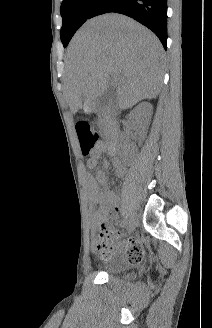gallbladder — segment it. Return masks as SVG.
I'll return each instance as SVG.
<instances>
[{
    "mask_svg": "<svg viewBox=\"0 0 212 328\" xmlns=\"http://www.w3.org/2000/svg\"><path fill=\"white\" fill-rule=\"evenodd\" d=\"M115 96L114 92L111 89L106 90L102 95L97 98L96 104L97 108H106L111 106L114 102Z\"/></svg>",
    "mask_w": 212,
    "mask_h": 328,
    "instance_id": "obj_1",
    "label": "gallbladder"
}]
</instances>
